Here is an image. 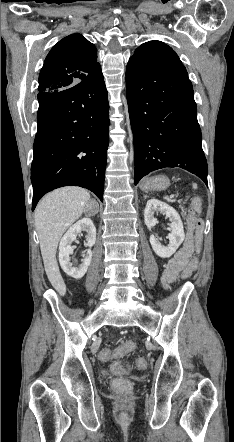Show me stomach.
<instances>
[{
	"label": "stomach",
	"instance_id": "0dacf381",
	"mask_svg": "<svg viewBox=\"0 0 234 442\" xmlns=\"http://www.w3.org/2000/svg\"><path fill=\"white\" fill-rule=\"evenodd\" d=\"M169 179L163 175L145 179L141 183V189L144 191L164 190L169 186Z\"/></svg>",
	"mask_w": 234,
	"mask_h": 442
}]
</instances>
